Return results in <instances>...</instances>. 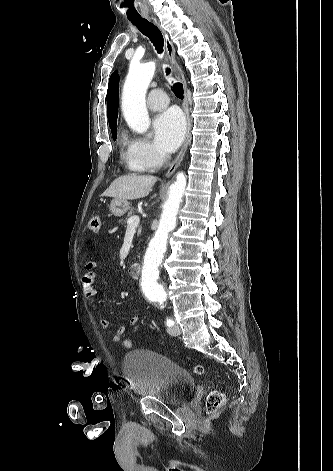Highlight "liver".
I'll list each match as a JSON object with an SVG mask.
<instances>
[{
	"instance_id": "liver-1",
	"label": "liver",
	"mask_w": 333,
	"mask_h": 471,
	"mask_svg": "<svg viewBox=\"0 0 333 471\" xmlns=\"http://www.w3.org/2000/svg\"><path fill=\"white\" fill-rule=\"evenodd\" d=\"M157 178L151 175H124L115 179L102 194L120 200H134L149 195Z\"/></svg>"
}]
</instances>
